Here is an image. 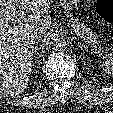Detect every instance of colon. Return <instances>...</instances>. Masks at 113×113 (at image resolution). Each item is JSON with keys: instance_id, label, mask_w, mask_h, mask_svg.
Instances as JSON below:
<instances>
[{"instance_id": "obj_1", "label": "colon", "mask_w": 113, "mask_h": 113, "mask_svg": "<svg viewBox=\"0 0 113 113\" xmlns=\"http://www.w3.org/2000/svg\"><path fill=\"white\" fill-rule=\"evenodd\" d=\"M98 15L109 23H113V0H97Z\"/></svg>"}]
</instances>
